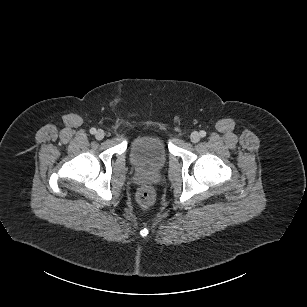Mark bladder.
Segmentation results:
<instances>
[{
    "label": "bladder",
    "instance_id": "obj_1",
    "mask_svg": "<svg viewBox=\"0 0 307 307\" xmlns=\"http://www.w3.org/2000/svg\"><path fill=\"white\" fill-rule=\"evenodd\" d=\"M169 150L163 138L143 135L134 140L130 149L132 164L141 171L155 172L167 162Z\"/></svg>",
    "mask_w": 307,
    "mask_h": 307
}]
</instances>
